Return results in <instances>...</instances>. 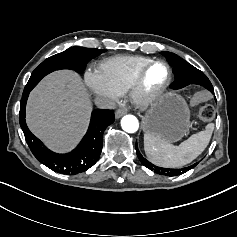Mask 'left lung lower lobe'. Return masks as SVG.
Wrapping results in <instances>:
<instances>
[{
  "mask_svg": "<svg viewBox=\"0 0 237 237\" xmlns=\"http://www.w3.org/2000/svg\"><path fill=\"white\" fill-rule=\"evenodd\" d=\"M208 90L214 94L213 88H212V89H208ZM214 98H215V100H216V97H214Z\"/></svg>",
  "mask_w": 237,
  "mask_h": 237,
  "instance_id": "0a47b994",
  "label": "left lung lower lobe"
}]
</instances>
